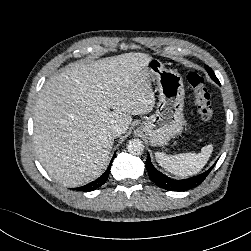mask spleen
<instances>
[{
    "mask_svg": "<svg viewBox=\"0 0 251 251\" xmlns=\"http://www.w3.org/2000/svg\"><path fill=\"white\" fill-rule=\"evenodd\" d=\"M213 146L207 145L201 149V152L182 153L177 155H168L163 152H156L157 163L166 171L180 177H187L197 174L209 160Z\"/></svg>",
    "mask_w": 251,
    "mask_h": 251,
    "instance_id": "1",
    "label": "spleen"
}]
</instances>
